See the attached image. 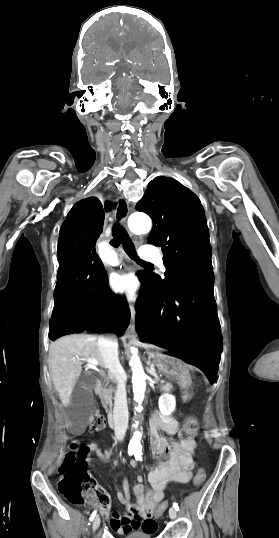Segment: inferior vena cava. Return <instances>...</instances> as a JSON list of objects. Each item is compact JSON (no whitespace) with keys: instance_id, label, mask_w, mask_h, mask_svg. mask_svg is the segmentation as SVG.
<instances>
[{"instance_id":"inferior-vena-cava-1","label":"inferior vena cava","mask_w":279,"mask_h":538,"mask_svg":"<svg viewBox=\"0 0 279 538\" xmlns=\"http://www.w3.org/2000/svg\"><path fill=\"white\" fill-rule=\"evenodd\" d=\"M115 338L116 335H101V337L98 339V346L99 350L101 351V356H104L105 358V368H109V372L112 373L111 375H114L116 382L118 381V390L116 393L115 407L113 411V422L115 425L116 438L118 440H122L128 423V408L124 384V381L126 380L119 378L121 376L118 374L119 371L124 373V370L119 363L117 353L118 342ZM115 442H117L116 439Z\"/></svg>"}]
</instances>
